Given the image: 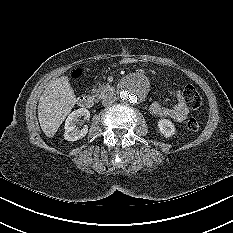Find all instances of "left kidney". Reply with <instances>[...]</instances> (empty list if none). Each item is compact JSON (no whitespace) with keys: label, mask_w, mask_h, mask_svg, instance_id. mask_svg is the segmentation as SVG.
I'll return each mask as SVG.
<instances>
[{"label":"left kidney","mask_w":233,"mask_h":233,"mask_svg":"<svg viewBox=\"0 0 233 233\" xmlns=\"http://www.w3.org/2000/svg\"><path fill=\"white\" fill-rule=\"evenodd\" d=\"M158 128L160 133L166 138L176 133L174 124L168 119H160L158 121Z\"/></svg>","instance_id":"5707ae66"}]
</instances>
